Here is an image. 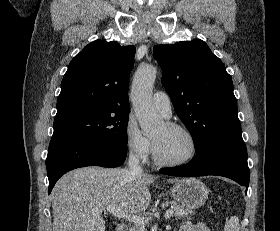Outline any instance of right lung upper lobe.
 I'll use <instances>...</instances> for the list:
<instances>
[{
	"label": "right lung upper lobe",
	"instance_id": "obj_1",
	"mask_svg": "<svg viewBox=\"0 0 280 231\" xmlns=\"http://www.w3.org/2000/svg\"><path fill=\"white\" fill-rule=\"evenodd\" d=\"M135 47L115 41L88 44L69 64L54 121L103 113H129L128 84Z\"/></svg>",
	"mask_w": 280,
	"mask_h": 231
}]
</instances>
